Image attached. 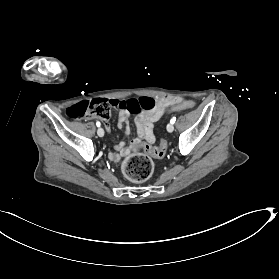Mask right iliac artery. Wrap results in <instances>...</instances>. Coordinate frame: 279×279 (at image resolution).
<instances>
[{"label":"right iliac artery","instance_id":"82829eb1","mask_svg":"<svg viewBox=\"0 0 279 279\" xmlns=\"http://www.w3.org/2000/svg\"><path fill=\"white\" fill-rule=\"evenodd\" d=\"M96 125H97V127H100L101 124H100V122H97Z\"/></svg>","mask_w":279,"mask_h":279}]
</instances>
